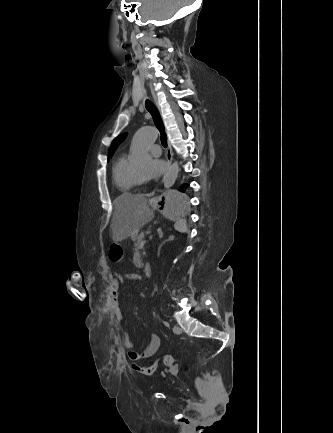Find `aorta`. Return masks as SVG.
<instances>
[{"mask_svg":"<svg viewBox=\"0 0 333 433\" xmlns=\"http://www.w3.org/2000/svg\"><path fill=\"white\" fill-rule=\"evenodd\" d=\"M158 131L154 127H142L134 135L131 146V161L136 166H146L151 162L149 146L156 141ZM179 172L178 162H174L163 179L164 187L170 188L176 181Z\"/></svg>","mask_w":333,"mask_h":433,"instance_id":"1","label":"aorta"}]
</instances>
